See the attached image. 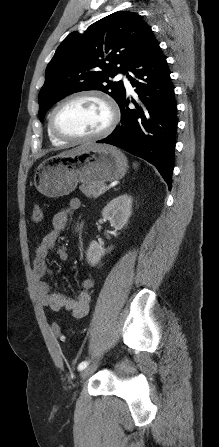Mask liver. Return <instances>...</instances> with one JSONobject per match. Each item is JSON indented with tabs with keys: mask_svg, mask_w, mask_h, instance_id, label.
Instances as JSON below:
<instances>
[{
	"mask_svg": "<svg viewBox=\"0 0 219 447\" xmlns=\"http://www.w3.org/2000/svg\"><path fill=\"white\" fill-rule=\"evenodd\" d=\"M91 145H93V144H85V145L76 147L74 149H71V150H68V151H64V152L60 153L59 156H72V155H75V154L81 152L82 150H84L85 148H87V147H89Z\"/></svg>",
	"mask_w": 219,
	"mask_h": 447,
	"instance_id": "obj_1",
	"label": "liver"
}]
</instances>
